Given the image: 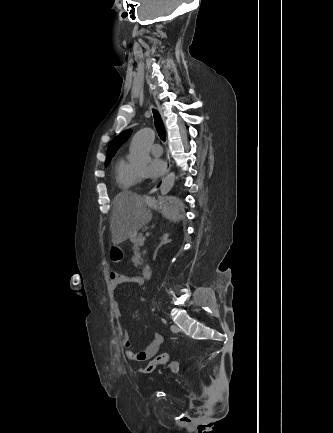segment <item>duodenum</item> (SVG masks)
<instances>
[{"label": "duodenum", "instance_id": "obj_1", "mask_svg": "<svg viewBox=\"0 0 333 433\" xmlns=\"http://www.w3.org/2000/svg\"><path fill=\"white\" fill-rule=\"evenodd\" d=\"M131 242H136V237H131ZM142 276L146 280L151 279V277H152V267L149 264H145L142 267Z\"/></svg>", "mask_w": 333, "mask_h": 433}]
</instances>
